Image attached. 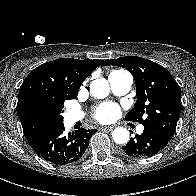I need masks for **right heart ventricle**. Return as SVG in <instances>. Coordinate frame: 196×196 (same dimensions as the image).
I'll use <instances>...</instances> for the list:
<instances>
[{
  "instance_id": "1",
  "label": "right heart ventricle",
  "mask_w": 196,
  "mask_h": 196,
  "mask_svg": "<svg viewBox=\"0 0 196 196\" xmlns=\"http://www.w3.org/2000/svg\"><path fill=\"white\" fill-rule=\"evenodd\" d=\"M117 72H120V71H113L112 73H117Z\"/></svg>"
}]
</instances>
